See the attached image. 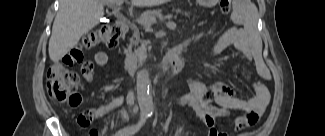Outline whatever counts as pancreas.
<instances>
[{
	"instance_id": "pancreas-1",
	"label": "pancreas",
	"mask_w": 325,
	"mask_h": 136,
	"mask_svg": "<svg viewBox=\"0 0 325 136\" xmlns=\"http://www.w3.org/2000/svg\"><path fill=\"white\" fill-rule=\"evenodd\" d=\"M166 14L167 16H175L176 18H179L178 21L180 24H187L189 19H193L194 16L193 12H187L185 7H181L180 5H174L172 9H167ZM132 32V37L134 40H140V38L144 37V34L140 33L137 27H134Z\"/></svg>"
}]
</instances>
